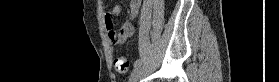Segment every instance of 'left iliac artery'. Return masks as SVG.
<instances>
[{"mask_svg":"<svg viewBox=\"0 0 279 82\" xmlns=\"http://www.w3.org/2000/svg\"><path fill=\"white\" fill-rule=\"evenodd\" d=\"M140 65V60H136L135 62H134V64H133V66L136 68L137 66H139Z\"/></svg>","mask_w":279,"mask_h":82,"instance_id":"obj_1","label":"left iliac artery"}]
</instances>
